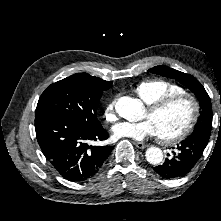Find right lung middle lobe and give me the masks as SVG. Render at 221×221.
<instances>
[{"instance_id": "1", "label": "right lung middle lobe", "mask_w": 221, "mask_h": 221, "mask_svg": "<svg viewBox=\"0 0 221 221\" xmlns=\"http://www.w3.org/2000/svg\"><path fill=\"white\" fill-rule=\"evenodd\" d=\"M104 87L95 81L70 76L51 84L39 98L37 108L52 111L87 128H101L97 108Z\"/></svg>"}]
</instances>
